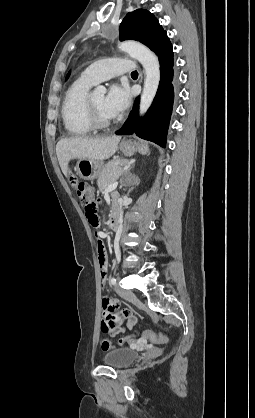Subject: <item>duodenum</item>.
<instances>
[{
  "mask_svg": "<svg viewBox=\"0 0 255 418\" xmlns=\"http://www.w3.org/2000/svg\"><path fill=\"white\" fill-rule=\"evenodd\" d=\"M108 228L111 231H118L120 228L119 209L117 206H113L108 219Z\"/></svg>",
  "mask_w": 255,
  "mask_h": 418,
  "instance_id": "duodenum-1",
  "label": "duodenum"
}]
</instances>
